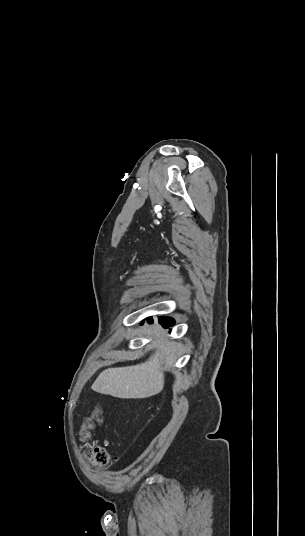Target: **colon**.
<instances>
[{"label": "colon", "mask_w": 305, "mask_h": 536, "mask_svg": "<svg viewBox=\"0 0 305 536\" xmlns=\"http://www.w3.org/2000/svg\"><path fill=\"white\" fill-rule=\"evenodd\" d=\"M102 419V408L97 406L92 414L86 417L83 421L82 429L79 433L81 441H88L91 437L92 431L95 425ZM81 450L84 454L85 460H94L98 465H105L109 462L108 450L101 446L96 445L92 447L91 444L85 443L82 445ZM92 452V453H91Z\"/></svg>", "instance_id": "1"}]
</instances>
